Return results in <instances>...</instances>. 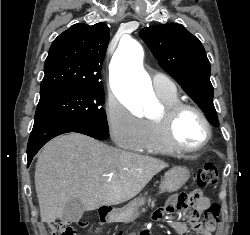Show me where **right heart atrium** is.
<instances>
[{"instance_id": "right-heart-atrium-1", "label": "right heart atrium", "mask_w": 250, "mask_h": 235, "mask_svg": "<svg viewBox=\"0 0 250 235\" xmlns=\"http://www.w3.org/2000/svg\"><path fill=\"white\" fill-rule=\"evenodd\" d=\"M105 117L113 141L127 150H138L145 138V121L114 97L105 107Z\"/></svg>"}]
</instances>
